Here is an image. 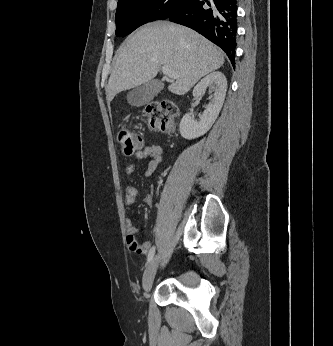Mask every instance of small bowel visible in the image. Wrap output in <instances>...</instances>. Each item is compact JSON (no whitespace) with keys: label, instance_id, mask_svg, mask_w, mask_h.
<instances>
[{"label":"small bowel","instance_id":"small-bowel-1","mask_svg":"<svg viewBox=\"0 0 333 346\" xmlns=\"http://www.w3.org/2000/svg\"><path fill=\"white\" fill-rule=\"evenodd\" d=\"M135 157L138 160H147V165L144 170V175L149 177L154 174L158 165L162 162L164 157L163 148L160 145L149 144L145 145L141 150L135 153ZM135 172V165L128 164L125 168V173L127 175H132ZM154 189L152 186L149 187L148 193L144 198L146 204H151L153 201ZM137 196V190L133 186H128L126 189L125 203L127 205H132ZM127 228V241L126 246L130 250L131 254H152L153 248L151 247V242L146 241L141 242L138 236V228L134 224L131 218L126 219Z\"/></svg>","mask_w":333,"mask_h":346}]
</instances>
